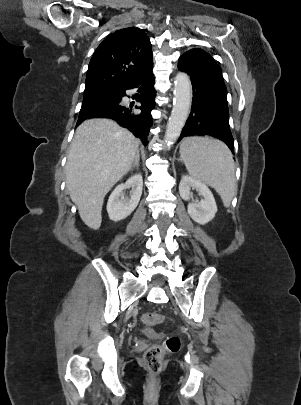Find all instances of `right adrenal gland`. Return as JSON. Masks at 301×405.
Returning <instances> with one entry per match:
<instances>
[{"label":"right adrenal gland","instance_id":"1","mask_svg":"<svg viewBox=\"0 0 301 405\" xmlns=\"http://www.w3.org/2000/svg\"><path fill=\"white\" fill-rule=\"evenodd\" d=\"M139 161H140V154H139V151H137V154H136V156H135L133 165H132V167H131V171H133L135 167H136L137 169L139 168Z\"/></svg>","mask_w":301,"mask_h":405}]
</instances>
